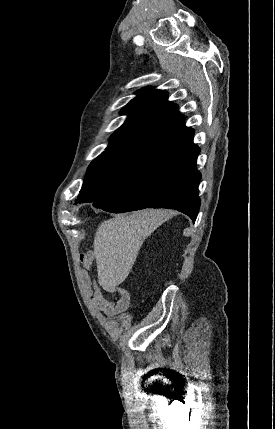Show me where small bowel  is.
<instances>
[{"instance_id":"1","label":"small bowel","mask_w":275,"mask_h":429,"mask_svg":"<svg viewBox=\"0 0 275 429\" xmlns=\"http://www.w3.org/2000/svg\"><path fill=\"white\" fill-rule=\"evenodd\" d=\"M85 291L91 297V302L95 308L107 316L117 315L125 311L130 303L129 293L120 286L106 287L108 291L116 292L118 299L116 302L106 299L99 287H93L89 280L85 282Z\"/></svg>"}]
</instances>
